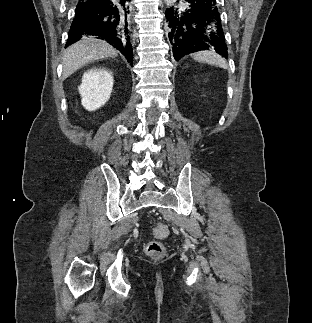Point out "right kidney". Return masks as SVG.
<instances>
[{"label":"right kidney","mask_w":312,"mask_h":323,"mask_svg":"<svg viewBox=\"0 0 312 323\" xmlns=\"http://www.w3.org/2000/svg\"><path fill=\"white\" fill-rule=\"evenodd\" d=\"M112 72L106 68H91L84 72L82 84L78 86L81 104L88 112H94L108 102L113 88Z\"/></svg>","instance_id":"obj_1"}]
</instances>
